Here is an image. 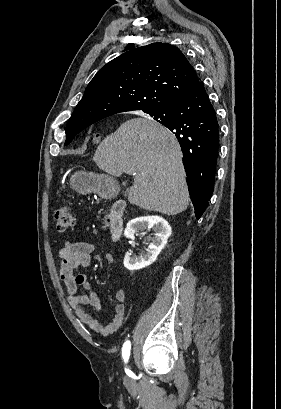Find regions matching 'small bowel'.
<instances>
[{
    "mask_svg": "<svg viewBox=\"0 0 281 409\" xmlns=\"http://www.w3.org/2000/svg\"><path fill=\"white\" fill-rule=\"evenodd\" d=\"M94 246L78 237L67 240L59 251L61 259L60 278L67 290V301L75 311L82 324L90 328L93 332L100 335H110L116 332L122 325L126 314V293L123 289L115 292L117 304L114 307V315L109 324L103 326L98 319L85 310L89 305L95 312H100L102 303L97 293L93 290L91 282L85 274H75V269L89 265L91 255L94 252ZM105 262L113 264L112 254L105 255ZM79 286L85 290L79 294Z\"/></svg>",
    "mask_w": 281,
    "mask_h": 409,
    "instance_id": "small-bowel-1",
    "label": "small bowel"
}]
</instances>
